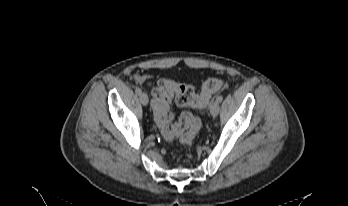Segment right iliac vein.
Instances as JSON below:
<instances>
[{"label":"right iliac vein","mask_w":348,"mask_h":206,"mask_svg":"<svg viewBox=\"0 0 348 206\" xmlns=\"http://www.w3.org/2000/svg\"><path fill=\"white\" fill-rule=\"evenodd\" d=\"M140 101L144 106H147L148 102H149V98L148 95L145 92H142L140 95Z\"/></svg>","instance_id":"63e3f726"}]
</instances>
